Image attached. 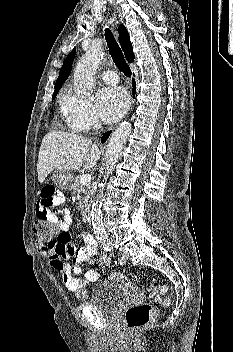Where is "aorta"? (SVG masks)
Segmentation results:
<instances>
[{
	"instance_id": "762f6f07",
	"label": "aorta",
	"mask_w": 233,
	"mask_h": 352,
	"mask_svg": "<svg viewBox=\"0 0 233 352\" xmlns=\"http://www.w3.org/2000/svg\"><path fill=\"white\" fill-rule=\"evenodd\" d=\"M102 53L100 50H90L78 61L74 71V90L79 96H89L95 82V73L101 62ZM132 130V125L128 122L122 123L112 133L106 152V164L103 181L96 199L92 203L91 220L94 233L97 239L105 243L108 236L102 221V198L103 190L109 176L112 174L115 164L120 159L122 150Z\"/></svg>"
}]
</instances>
